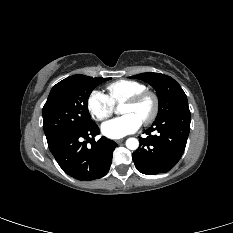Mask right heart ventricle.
I'll list each match as a JSON object with an SVG mask.
<instances>
[{
  "instance_id": "1",
  "label": "right heart ventricle",
  "mask_w": 233,
  "mask_h": 233,
  "mask_svg": "<svg viewBox=\"0 0 233 233\" xmlns=\"http://www.w3.org/2000/svg\"><path fill=\"white\" fill-rule=\"evenodd\" d=\"M107 97L112 104L119 105L131 96L146 90V86L138 81L118 80L107 86Z\"/></svg>"
}]
</instances>
